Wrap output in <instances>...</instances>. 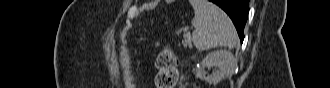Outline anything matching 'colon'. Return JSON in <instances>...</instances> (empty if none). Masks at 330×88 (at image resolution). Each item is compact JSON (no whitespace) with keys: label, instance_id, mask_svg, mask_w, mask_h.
Instances as JSON below:
<instances>
[{"label":"colon","instance_id":"obj_1","mask_svg":"<svg viewBox=\"0 0 330 88\" xmlns=\"http://www.w3.org/2000/svg\"><path fill=\"white\" fill-rule=\"evenodd\" d=\"M161 46L156 66L158 69L156 76L157 88H174L177 82V69L170 49L164 45Z\"/></svg>","mask_w":330,"mask_h":88}]
</instances>
